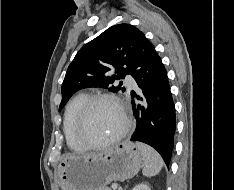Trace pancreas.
<instances>
[{
	"label": "pancreas",
	"instance_id": "cf45deb5",
	"mask_svg": "<svg viewBox=\"0 0 234 190\" xmlns=\"http://www.w3.org/2000/svg\"><path fill=\"white\" fill-rule=\"evenodd\" d=\"M103 190H111L109 187H105L103 188Z\"/></svg>",
	"mask_w": 234,
	"mask_h": 190
}]
</instances>
